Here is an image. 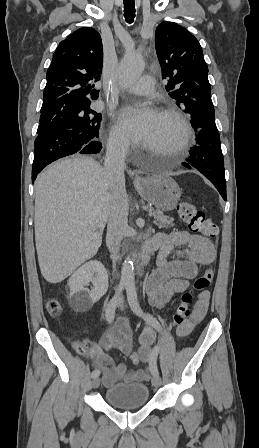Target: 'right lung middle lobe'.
I'll list each match as a JSON object with an SVG mask.
<instances>
[{"label":"right lung middle lobe","mask_w":259,"mask_h":448,"mask_svg":"<svg viewBox=\"0 0 259 448\" xmlns=\"http://www.w3.org/2000/svg\"><path fill=\"white\" fill-rule=\"evenodd\" d=\"M101 114L91 109L90 105L59 112L41 114L37 134L41 135L56 129H71L84 135L90 140L99 137Z\"/></svg>","instance_id":"obj_1"}]
</instances>
